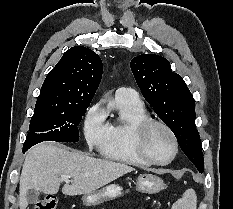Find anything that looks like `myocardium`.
<instances>
[{
    "label": "myocardium",
    "mask_w": 233,
    "mask_h": 209,
    "mask_svg": "<svg viewBox=\"0 0 233 209\" xmlns=\"http://www.w3.org/2000/svg\"><path fill=\"white\" fill-rule=\"evenodd\" d=\"M153 126H159L164 129L172 139L173 142V154L172 156L164 162L157 161L153 159L147 149H146V140L150 129ZM134 145L138 155L147 163L157 166H166L174 161L179 151V143L177 136L173 129L165 122L154 119L151 117H146L139 121L134 128Z\"/></svg>",
    "instance_id": "obj_1"
}]
</instances>
